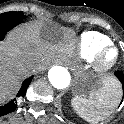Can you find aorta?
Here are the masks:
<instances>
[{
  "mask_svg": "<svg viewBox=\"0 0 124 124\" xmlns=\"http://www.w3.org/2000/svg\"><path fill=\"white\" fill-rule=\"evenodd\" d=\"M48 78L53 87L57 89L66 88L71 80L68 70L61 66L52 67L48 72Z\"/></svg>",
  "mask_w": 124,
  "mask_h": 124,
  "instance_id": "obj_1",
  "label": "aorta"
}]
</instances>
